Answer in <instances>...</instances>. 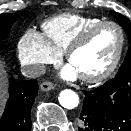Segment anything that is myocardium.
<instances>
[{"label":"myocardium","instance_id":"1","mask_svg":"<svg viewBox=\"0 0 131 131\" xmlns=\"http://www.w3.org/2000/svg\"><path fill=\"white\" fill-rule=\"evenodd\" d=\"M104 26H113L115 27L120 35V43H119V47L118 50L116 52V55L114 57V59L112 60V62L110 63V65L104 69L103 71H101L100 73L94 74V75H79L80 79L83 80L84 82L87 83H99L102 82L104 80H106L109 76H111L114 71L117 69L124 50H125V45H126V35H125V31L122 28V26L120 24H118L115 21H109V20H105V21H100L97 22L95 24L90 25L89 27H87L86 29H84L67 47L66 51H65V57L66 60L70 63L71 57L72 55L79 50L81 47H83L88 40L90 39V37L100 28L104 27Z\"/></svg>","mask_w":131,"mask_h":131}]
</instances>
